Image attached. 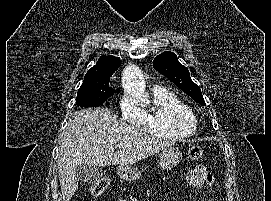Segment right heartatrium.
I'll list each match as a JSON object with an SVG mask.
<instances>
[{"label":"right heart atrium","mask_w":271,"mask_h":201,"mask_svg":"<svg viewBox=\"0 0 271 201\" xmlns=\"http://www.w3.org/2000/svg\"><path fill=\"white\" fill-rule=\"evenodd\" d=\"M120 109L122 111L123 117L135 124L143 125L145 121L144 112L138 107L133 98L126 95L123 96L119 103Z\"/></svg>","instance_id":"1"}]
</instances>
